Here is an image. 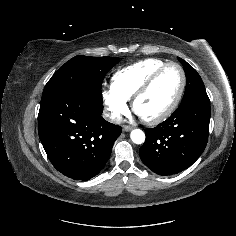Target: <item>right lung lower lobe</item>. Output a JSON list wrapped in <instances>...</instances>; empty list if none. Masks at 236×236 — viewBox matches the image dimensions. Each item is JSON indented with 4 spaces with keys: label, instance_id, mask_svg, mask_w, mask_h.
Here are the masks:
<instances>
[{
    "label": "right lung lower lobe",
    "instance_id": "obj_1",
    "mask_svg": "<svg viewBox=\"0 0 236 236\" xmlns=\"http://www.w3.org/2000/svg\"><path fill=\"white\" fill-rule=\"evenodd\" d=\"M103 105L68 90L41 100L38 133L53 166L65 176L89 180L110 158L121 127L101 115Z\"/></svg>",
    "mask_w": 236,
    "mask_h": 236
}]
</instances>
